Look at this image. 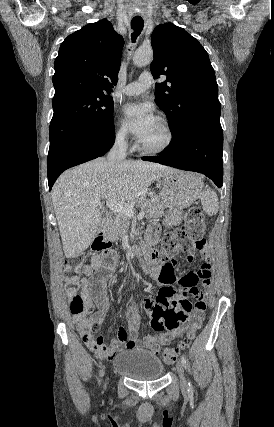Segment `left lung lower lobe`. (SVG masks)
<instances>
[{
	"label": "left lung lower lobe",
	"mask_w": 274,
	"mask_h": 427,
	"mask_svg": "<svg viewBox=\"0 0 274 427\" xmlns=\"http://www.w3.org/2000/svg\"><path fill=\"white\" fill-rule=\"evenodd\" d=\"M223 132L218 123L194 126L179 141H174L156 157H142L171 167L205 174L218 186L223 181Z\"/></svg>",
	"instance_id": "1"
}]
</instances>
